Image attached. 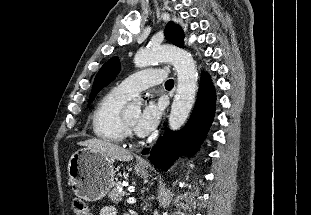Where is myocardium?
Returning <instances> with one entry per match:
<instances>
[{"mask_svg":"<svg viewBox=\"0 0 311 215\" xmlns=\"http://www.w3.org/2000/svg\"><path fill=\"white\" fill-rule=\"evenodd\" d=\"M122 120H123V123H124V126H125L126 130L130 131L132 125L127 121V119L125 117V112L122 113Z\"/></svg>","mask_w":311,"mask_h":215,"instance_id":"1","label":"myocardium"}]
</instances>
